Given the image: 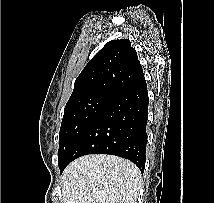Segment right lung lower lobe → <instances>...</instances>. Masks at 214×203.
<instances>
[{"label":"right lung lower lobe","instance_id":"98d812e1","mask_svg":"<svg viewBox=\"0 0 214 203\" xmlns=\"http://www.w3.org/2000/svg\"><path fill=\"white\" fill-rule=\"evenodd\" d=\"M148 104L145 81L113 96L76 142L60 172L78 157L110 154L132 161L143 173Z\"/></svg>","mask_w":214,"mask_h":203}]
</instances>
